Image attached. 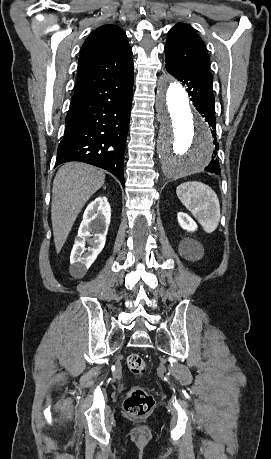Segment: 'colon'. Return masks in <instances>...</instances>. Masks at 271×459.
<instances>
[{"instance_id":"1","label":"colon","mask_w":271,"mask_h":459,"mask_svg":"<svg viewBox=\"0 0 271 459\" xmlns=\"http://www.w3.org/2000/svg\"><path fill=\"white\" fill-rule=\"evenodd\" d=\"M127 365L135 375H142L146 371V363L138 354H130L127 357ZM153 396L144 388L136 387L131 389L124 400L125 412L133 417H141L148 414L154 407Z\"/></svg>"}]
</instances>
